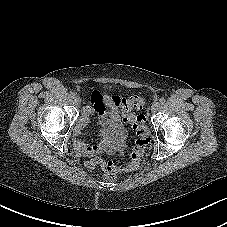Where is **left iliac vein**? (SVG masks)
Wrapping results in <instances>:
<instances>
[{"label": "left iliac vein", "mask_w": 227, "mask_h": 227, "mask_svg": "<svg viewBox=\"0 0 227 227\" xmlns=\"http://www.w3.org/2000/svg\"><path fill=\"white\" fill-rule=\"evenodd\" d=\"M160 104L158 102H154L151 106V112H156L159 108Z\"/></svg>", "instance_id": "obj_1"}]
</instances>
